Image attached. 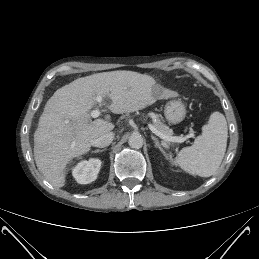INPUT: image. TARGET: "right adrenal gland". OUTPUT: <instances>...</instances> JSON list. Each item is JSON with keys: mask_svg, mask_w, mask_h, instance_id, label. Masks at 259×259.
I'll use <instances>...</instances> for the list:
<instances>
[{"mask_svg": "<svg viewBox=\"0 0 259 259\" xmlns=\"http://www.w3.org/2000/svg\"><path fill=\"white\" fill-rule=\"evenodd\" d=\"M104 151H106V149H102V150L97 149V150L92 151V153H99V152H104Z\"/></svg>", "mask_w": 259, "mask_h": 259, "instance_id": "1", "label": "right adrenal gland"}]
</instances>
